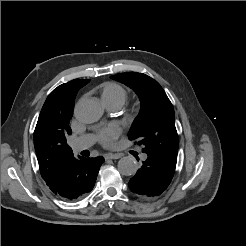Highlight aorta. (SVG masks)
<instances>
[{"instance_id": "aorta-1", "label": "aorta", "mask_w": 246, "mask_h": 246, "mask_svg": "<svg viewBox=\"0 0 246 246\" xmlns=\"http://www.w3.org/2000/svg\"><path fill=\"white\" fill-rule=\"evenodd\" d=\"M74 115L76 119L82 123H94L98 121L102 115V106L97 99H82L76 104ZM137 169V161L131 156L122 157L118 161V170L122 175H134Z\"/></svg>"}]
</instances>
